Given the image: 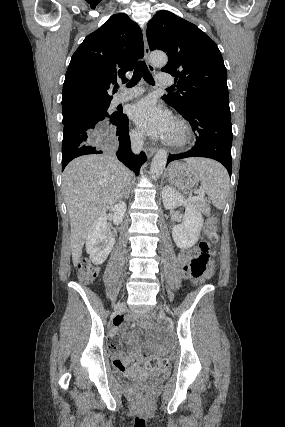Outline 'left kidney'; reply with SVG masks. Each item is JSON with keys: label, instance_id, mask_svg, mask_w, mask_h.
I'll list each match as a JSON object with an SVG mask.
<instances>
[{"label": "left kidney", "instance_id": "obj_1", "mask_svg": "<svg viewBox=\"0 0 285 427\" xmlns=\"http://www.w3.org/2000/svg\"><path fill=\"white\" fill-rule=\"evenodd\" d=\"M162 199L166 209H174L179 206L185 207L182 223L172 228V237L177 247L188 249L195 245L204 222L196 206L170 186H165L163 188Z\"/></svg>", "mask_w": 285, "mask_h": 427}]
</instances>
